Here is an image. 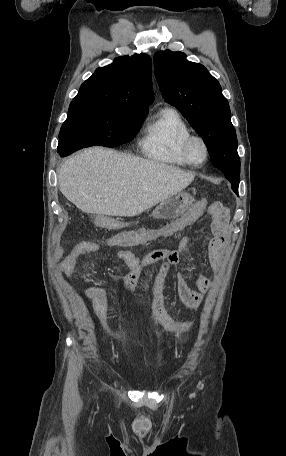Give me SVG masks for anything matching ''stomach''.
Here are the masks:
<instances>
[{"instance_id": "stomach-1", "label": "stomach", "mask_w": 286, "mask_h": 456, "mask_svg": "<svg viewBox=\"0 0 286 456\" xmlns=\"http://www.w3.org/2000/svg\"><path fill=\"white\" fill-rule=\"evenodd\" d=\"M193 198L189 193L179 192L162 201L152 212L157 219H172L179 217L192 205Z\"/></svg>"}]
</instances>
